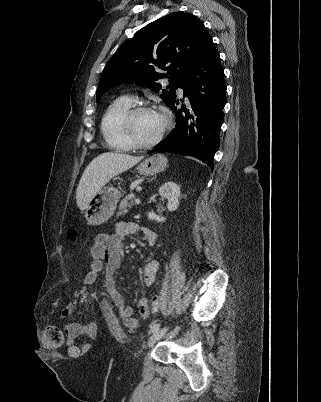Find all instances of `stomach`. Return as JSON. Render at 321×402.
Here are the masks:
<instances>
[{"mask_svg": "<svg viewBox=\"0 0 321 402\" xmlns=\"http://www.w3.org/2000/svg\"><path fill=\"white\" fill-rule=\"evenodd\" d=\"M167 166V158L161 154H155L145 159L136 168L142 175H154L163 171ZM120 192L110 186L100 189L90 200L85 209V218L91 225H101L108 221L114 214Z\"/></svg>", "mask_w": 321, "mask_h": 402, "instance_id": "0dacf381", "label": "stomach"}]
</instances>
